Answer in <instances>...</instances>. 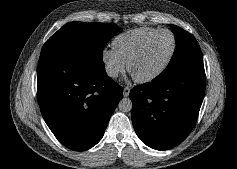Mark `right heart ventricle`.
Returning a JSON list of instances; mask_svg holds the SVG:
<instances>
[{
	"mask_svg": "<svg viewBox=\"0 0 237 169\" xmlns=\"http://www.w3.org/2000/svg\"><path fill=\"white\" fill-rule=\"evenodd\" d=\"M158 29L141 27L126 31L116 36L113 40V50L125 61L128 62L139 46Z\"/></svg>",
	"mask_w": 237,
	"mask_h": 169,
	"instance_id": "obj_1",
	"label": "right heart ventricle"
}]
</instances>
